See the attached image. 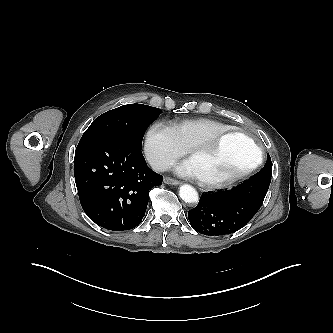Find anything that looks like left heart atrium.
I'll return each mask as SVG.
<instances>
[{"label": "left heart atrium", "instance_id": "39dd6f15", "mask_svg": "<svg viewBox=\"0 0 333 333\" xmlns=\"http://www.w3.org/2000/svg\"><path fill=\"white\" fill-rule=\"evenodd\" d=\"M176 171L184 176H196L195 170L191 164L190 160L184 161L182 164H180L177 168Z\"/></svg>", "mask_w": 333, "mask_h": 333}]
</instances>
